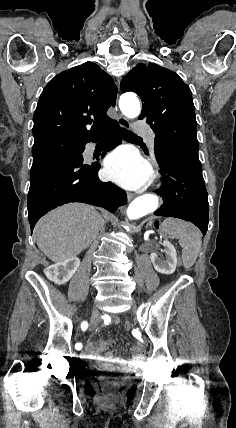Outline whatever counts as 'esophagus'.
Segmentation results:
<instances>
[{"label":"esophagus","mask_w":236,"mask_h":428,"mask_svg":"<svg viewBox=\"0 0 236 428\" xmlns=\"http://www.w3.org/2000/svg\"><path fill=\"white\" fill-rule=\"evenodd\" d=\"M118 123H119V125L121 126V128H129V127H130L129 122H128V120H127L125 117L120 116V117L118 118ZM133 196H134V195H133L132 193H130V194L128 195V199L133 198Z\"/></svg>","instance_id":"esophagus-1"}]
</instances>
